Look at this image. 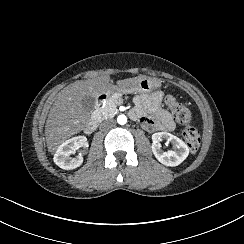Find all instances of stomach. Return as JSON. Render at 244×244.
<instances>
[{"label": "stomach", "instance_id": "0dacf381", "mask_svg": "<svg viewBox=\"0 0 244 244\" xmlns=\"http://www.w3.org/2000/svg\"><path fill=\"white\" fill-rule=\"evenodd\" d=\"M159 84L158 80L153 78L150 79L148 77L142 76L134 79H127L122 81L119 86L109 85L107 89L104 91L106 95H111L114 91H121L123 93H134L139 92L141 90H147L151 87L155 88Z\"/></svg>", "mask_w": 244, "mask_h": 244}]
</instances>
